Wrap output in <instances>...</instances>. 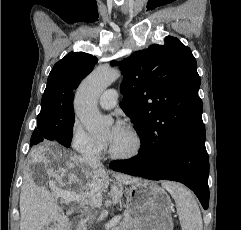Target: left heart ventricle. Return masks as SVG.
<instances>
[{
    "label": "left heart ventricle",
    "mask_w": 241,
    "mask_h": 230,
    "mask_svg": "<svg viewBox=\"0 0 241 230\" xmlns=\"http://www.w3.org/2000/svg\"><path fill=\"white\" fill-rule=\"evenodd\" d=\"M111 131H108L104 137L105 140L109 141ZM134 147V140L127 129L121 134V136L112 144L110 148L114 153L126 154L130 152Z\"/></svg>",
    "instance_id": "left-heart-ventricle-1"
}]
</instances>
